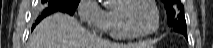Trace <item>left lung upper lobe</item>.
Here are the masks:
<instances>
[{
	"label": "left lung upper lobe",
	"mask_w": 213,
	"mask_h": 48,
	"mask_svg": "<svg viewBox=\"0 0 213 48\" xmlns=\"http://www.w3.org/2000/svg\"><path fill=\"white\" fill-rule=\"evenodd\" d=\"M168 14V24L180 30L186 29L184 6L180 0H162Z\"/></svg>",
	"instance_id": "left-lung-upper-lobe-1"
}]
</instances>
